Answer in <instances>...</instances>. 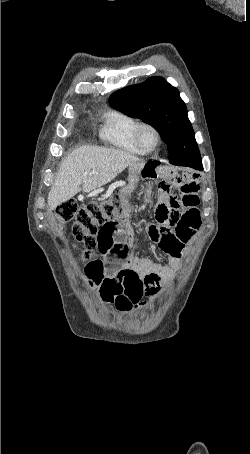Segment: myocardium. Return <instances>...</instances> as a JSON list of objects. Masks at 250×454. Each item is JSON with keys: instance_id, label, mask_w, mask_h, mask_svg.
I'll use <instances>...</instances> for the list:
<instances>
[{"instance_id": "f54148a6", "label": "myocardium", "mask_w": 250, "mask_h": 454, "mask_svg": "<svg viewBox=\"0 0 250 454\" xmlns=\"http://www.w3.org/2000/svg\"><path fill=\"white\" fill-rule=\"evenodd\" d=\"M144 129H150L155 136V144L152 148L145 147V145L142 142L141 133ZM134 138H135L136 144L140 147V149L144 153H152L159 147V145L161 143V134H160L159 130L157 129V127L154 124H152L150 122H146V121H142L137 124V126L135 128V132H134Z\"/></svg>"}]
</instances>
